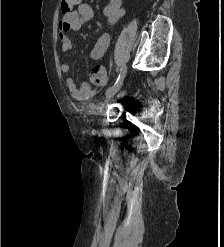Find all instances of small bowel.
I'll return each instance as SVG.
<instances>
[{
    "instance_id": "c3829d8e",
    "label": "small bowel",
    "mask_w": 224,
    "mask_h": 247,
    "mask_svg": "<svg viewBox=\"0 0 224 247\" xmlns=\"http://www.w3.org/2000/svg\"><path fill=\"white\" fill-rule=\"evenodd\" d=\"M103 13L108 23L114 25L125 15L126 11L122 5V0H109ZM93 18L94 11L92 7L85 3L79 4L75 10L63 16L59 23V39L63 52H68L72 48V41L67 34L71 31H78L83 24L91 21ZM109 43L110 37L107 33L100 35L89 51V59L96 61L102 58ZM61 71L68 73L70 66L67 63H63L61 65ZM65 83L71 96L78 100H87L93 97L97 92V88L92 87L88 83H83L78 87L72 77H67Z\"/></svg>"
}]
</instances>
